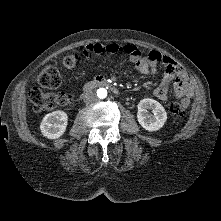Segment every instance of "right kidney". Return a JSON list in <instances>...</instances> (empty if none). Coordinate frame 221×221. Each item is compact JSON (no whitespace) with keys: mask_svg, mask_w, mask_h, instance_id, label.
Returning <instances> with one entry per match:
<instances>
[{"mask_svg":"<svg viewBox=\"0 0 221 221\" xmlns=\"http://www.w3.org/2000/svg\"><path fill=\"white\" fill-rule=\"evenodd\" d=\"M68 123V116L63 111H54L47 114L40 125L43 136L48 139H56L64 134Z\"/></svg>","mask_w":221,"mask_h":221,"instance_id":"ca27d5eb","label":"right kidney"}]
</instances>
